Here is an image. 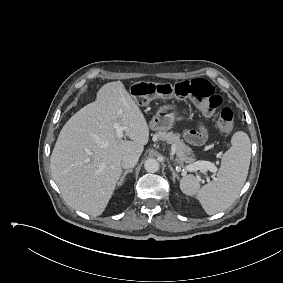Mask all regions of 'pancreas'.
Returning a JSON list of instances; mask_svg holds the SVG:
<instances>
[{
	"instance_id": "obj_1",
	"label": "pancreas",
	"mask_w": 283,
	"mask_h": 283,
	"mask_svg": "<svg viewBox=\"0 0 283 283\" xmlns=\"http://www.w3.org/2000/svg\"><path fill=\"white\" fill-rule=\"evenodd\" d=\"M159 140L165 141L167 144H171L175 149L177 157L184 162L193 163L195 159L189 155L192 154V150L185 145V143L180 139L179 134L173 132H159L157 134Z\"/></svg>"
}]
</instances>
